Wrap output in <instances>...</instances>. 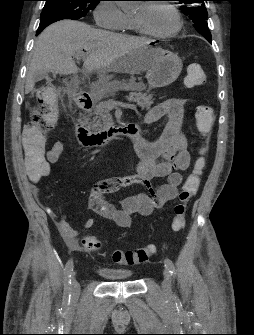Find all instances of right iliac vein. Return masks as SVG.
Returning a JSON list of instances; mask_svg holds the SVG:
<instances>
[{"label": "right iliac vein", "instance_id": "obj_1", "mask_svg": "<svg viewBox=\"0 0 254 335\" xmlns=\"http://www.w3.org/2000/svg\"><path fill=\"white\" fill-rule=\"evenodd\" d=\"M71 293L74 297H77L80 293V285L74 275L71 282Z\"/></svg>", "mask_w": 254, "mask_h": 335}]
</instances>
